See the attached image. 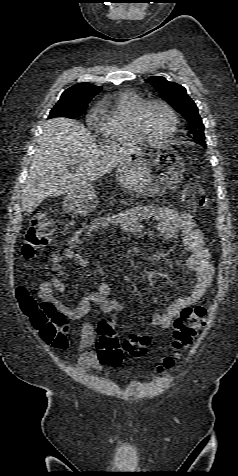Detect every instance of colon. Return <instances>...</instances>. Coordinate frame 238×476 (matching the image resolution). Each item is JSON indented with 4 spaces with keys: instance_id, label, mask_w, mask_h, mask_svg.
Masks as SVG:
<instances>
[{
    "instance_id": "5ec220e1",
    "label": "colon",
    "mask_w": 238,
    "mask_h": 476,
    "mask_svg": "<svg viewBox=\"0 0 238 476\" xmlns=\"http://www.w3.org/2000/svg\"><path fill=\"white\" fill-rule=\"evenodd\" d=\"M183 205L192 211L205 210L210 205V199L200 185L189 182L185 185L182 193ZM54 222L45 214L36 215L30 222L22 247L25 258L36 257L48 244L54 233ZM22 311L30 317L33 327L38 331L42 340L57 349L67 347L66 327L64 318L47 303L36 302L29 297L24 288L18 290ZM114 314L107 316L106 321L99 327V339L96 343L98 358L103 365L118 367L126 353L133 357L144 356L151 344L148 335L144 333L131 334L121 343L115 336L112 321ZM206 324V309L203 306H191L184 308L173 322L172 346L175 353L165 357L157 367L158 374L174 367L180 352L188 349L198 332Z\"/></svg>"
}]
</instances>
